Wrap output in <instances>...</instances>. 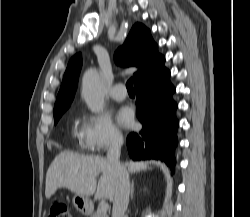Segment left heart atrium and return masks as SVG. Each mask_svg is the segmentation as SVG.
Segmentation results:
<instances>
[{
  "label": "left heart atrium",
  "instance_id": "obj_1",
  "mask_svg": "<svg viewBox=\"0 0 250 217\" xmlns=\"http://www.w3.org/2000/svg\"><path fill=\"white\" fill-rule=\"evenodd\" d=\"M117 119L123 126H130L133 123V113L130 109L123 108L118 112Z\"/></svg>",
  "mask_w": 250,
  "mask_h": 217
}]
</instances>
